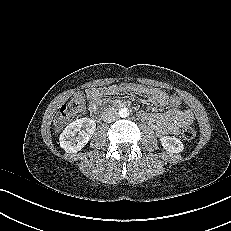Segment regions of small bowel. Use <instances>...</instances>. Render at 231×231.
<instances>
[{"instance_id": "small-bowel-1", "label": "small bowel", "mask_w": 231, "mask_h": 231, "mask_svg": "<svg viewBox=\"0 0 231 231\" xmlns=\"http://www.w3.org/2000/svg\"><path fill=\"white\" fill-rule=\"evenodd\" d=\"M124 92H133L148 97L150 104L155 108L170 106L161 113L139 112V117L147 122L159 136L177 135L181 128L194 122L193 113L188 109L173 107L169 103L168 95L159 89L135 84L112 85L107 88H90L86 91L88 109L95 114L105 96H112Z\"/></svg>"}]
</instances>
